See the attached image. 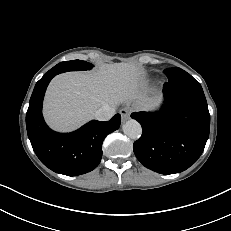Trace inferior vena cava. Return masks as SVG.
Returning a JSON list of instances; mask_svg holds the SVG:
<instances>
[{"label": "inferior vena cava", "instance_id": "obj_1", "mask_svg": "<svg viewBox=\"0 0 231 231\" xmlns=\"http://www.w3.org/2000/svg\"><path fill=\"white\" fill-rule=\"evenodd\" d=\"M115 114V108L110 105H103L101 108H99L95 114V119L99 121H107L111 119Z\"/></svg>", "mask_w": 231, "mask_h": 231}]
</instances>
